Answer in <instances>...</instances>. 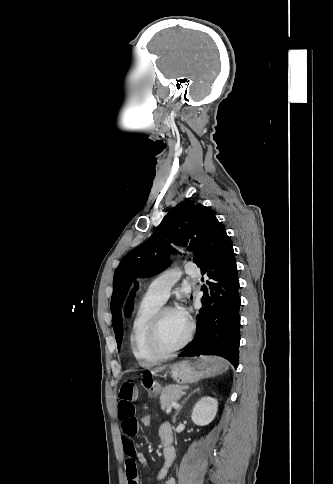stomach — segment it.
Wrapping results in <instances>:
<instances>
[{
  "instance_id": "0dacf381",
  "label": "stomach",
  "mask_w": 333,
  "mask_h": 484,
  "mask_svg": "<svg viewBox=\"0 0 333 484\" xmlns=\"http://www.w3.org/2000/svg\"><path fill=\"white\" fill-rule=\"evenodd\" d=\"M227 369V363L220 358L202 357L195 361L183 360L169 367V374L177 384L196 383L203 378L214 377ZM157 372H150L142 381L143 387L150 395L160 393L161 386L153 379Z\"/></svg>"
}]
</instances>
